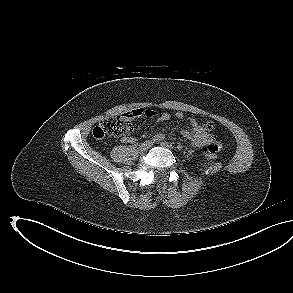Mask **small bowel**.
Masks as SVG:
<instances>
[{
    "label": "small bowel",
    "instance_id": "1",
    "mask_svg": "<svg viewBox=\"0 0 293 293\" xmlns=\"http://www.w3.org/2000/svg\"><path fill=\"white\" fill-rule=\"evenodd\" d=\"M140 116L154 117L156 112L153 110L135 109L124 115L128 119H133ZM176 118L181 120L183 114L181 112L176 113ZM171 115L168 112L161 113L157 117V121H168ZM191 129H184L182 131L183 136L190 142V144L203 151L217 152L220 149V143L211 134L213 124L208 122L206 124H199L195 119H190ZM124 143L134 144L136 138L133 136H124L122 138Z\"/></svg>",
    "mask_w": 293,
    "mask_h": 293
}]
</instances>
